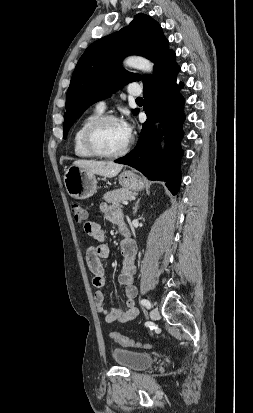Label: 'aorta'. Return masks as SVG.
Segmentation results:
<instances>
[{"label": "aorta", "mask_w": 253, "mask_h": 413, "mask_svg": "<svg viewBox=\"0 0 253 413\" xmlns=\"http://www.w3.org/2000/svg\"><path fill=\"white\" fill-rule=\"evenodd\" d=\"M124 63L126 64V66L142 70L146 73L153 72V63L150 62L148 59L140 57V56L128 57L125 59Z\"/></svg>", "instance_id": "obj_1"}]
</instances>
